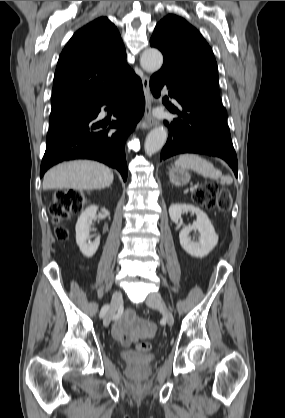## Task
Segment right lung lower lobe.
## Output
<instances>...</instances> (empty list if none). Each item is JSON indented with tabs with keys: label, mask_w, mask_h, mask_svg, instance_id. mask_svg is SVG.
<instances>
[{
	"label": "right lung lower lobe",
	"mask_w": 285,
	"mask_h": 418,
	"mask_svg": "<svg viewBox=\"0 0 285 418\" xmlns=\"http://www.w3.org/2000/svg\"><path fill=\"white\" fill-rule=\"evenodd\" d=\"M111 107L117 121H97L100 108ZM145 98L141 79L132 75L131 81L120 91L90 104L88 112L74 115L51 125L47 134L46 151L41 163L40 177L53 165L73 159H92L117 169L124 181L127 163L124 144L141 119ZM117 128L110 133L103 129Z\"/></svg>",
	"instance_id": "1"
}]
</instances>
